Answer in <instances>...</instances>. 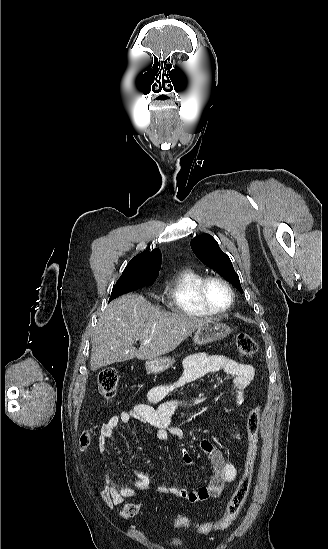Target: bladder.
I'll list each match as a JSON object with an SVG mask.
<instances>
[{
	"instance_id": "1",
	"label": "bladder",
	"mask_w": 328,
	"mask_h": 549,
	"mask_svg": "<svg viewBox=\"0 0 328 549\" xmlns=\"http://www.w3.org/2000/svg\"><path fill=\"white\" fill-rule=\"evenodd\" d=\"M175 543H177V544H181V542H180V541H175Z\"/></svg>"
}]
</instances>
